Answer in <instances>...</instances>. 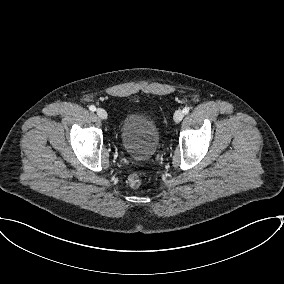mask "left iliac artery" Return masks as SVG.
Segmentation results:
<instances>
[{"label": "left iliac artery", "mask_w": 284, "mask_h": 284, "mask_svg": "<svg viewBox=\"0 0 284 284\" xmlns=\"http://www.w3.org/2000/svg\"><path fill=\"white\" fill-rule=\"evenodd\" d=\"M189 110H190L189 107H185V108L183 109V113H184V114H187V113L189 112Z\"/></svg>", "instance_id": "left-iliac-artery-1"}]
</instances>
